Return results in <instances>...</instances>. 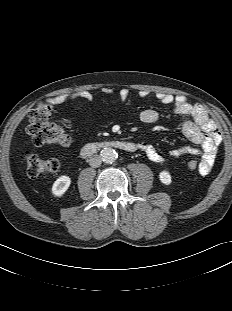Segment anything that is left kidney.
<instances>
[{
  "instance_id": "1",
  "label": "left kidney",
  "mask_w": 232,
  "mask_h": 311,
  "mask_svg": "<svg viewBox=\"0 0 232 311\" xmlns=\"http://www.w3.org/2000/svg\"><path fill=\"white\" fill-rule=\"evenodd\" d=\"M159 179L165 185H169L171 183V175L166 170L160 172Z\"/></svg>"
}]
</instances>
